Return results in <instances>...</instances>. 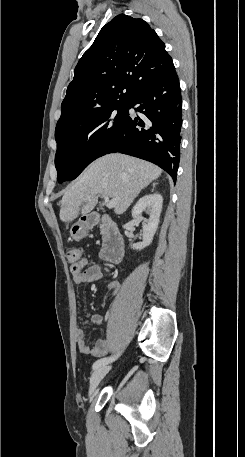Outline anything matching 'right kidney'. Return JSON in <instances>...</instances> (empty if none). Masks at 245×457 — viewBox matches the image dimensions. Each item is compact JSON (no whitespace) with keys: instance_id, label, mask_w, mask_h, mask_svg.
I'll return each instance as SVG.
<instances>
[{"instance_id":"ca27d5eb","label":"right kidney","mask_w":245,"mask_h":457,"mask_svg":"<svg viewBox=\"0 0 245 457\" xmlns=\"http://www.w3.org/2000/svg\"><path fill=\"white\" fill-rule=\"evenodd\" d=\"M163 196L159 192H153V194H145L142 198H139L135 206L132 208V216L135 220H144L143 224V241L142 243H134L132 249H145L148 245H151L153 237L157 231L159 224V218L162 210ZM142 212H147L149 218H144Z\"/></svg>"}]
</instances>
